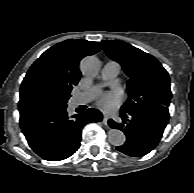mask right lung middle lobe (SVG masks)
<instances>
[{"mask_svg":"<svg viewBox=\"0 0 194 193\" xmlns=\"http://www.w3.org/2000/svg\"><path fill=\"white\" fill-rule=\"evenodd\" d=\"M69 90L47 89L41 91L34 99L19 104V111L30 112L39 109L63 108L70 98Z\"/></svg>","mask_w":194,"mask_h":193,"instance_id":"1","label":"right lung middle lobe"}]
</instances>
